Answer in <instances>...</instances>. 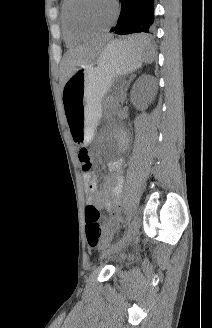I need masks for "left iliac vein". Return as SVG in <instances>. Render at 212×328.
Segmentation results:
<instances>
[{
  "label": "left iliac vein",
  "instance_id": "obj_1",
  "mask_svg": "<svg viewBox=\"0 0 212 328\" xmlns=\"http://www.w3.org/2000/svg\"><path fill=\"white\" fill-rule=\"evenodd\" d=\"M139 227H140V217L135 216L131 221V223L129 224L125 236L119 242H117L111 249L104 251L100 259L102 260L107 256H109L111 253L117 252L122 248H124L125 246H127L137 235Z\"/></svg>",
  "mask_w": 212,
  "mask_h": 328
}]
</instances>
